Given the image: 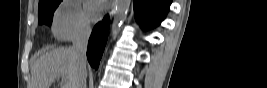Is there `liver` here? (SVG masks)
I'll return each instance as SVG.
<instances>
[{
  "instance_id": "6515ba94",
  "label": "liver",
  "mask_w": 267,
  "mask_h": 88,
  "mask_svg": "<svg viewBox=\"0 0 267 88\" xmlns=\"http://www.w3.org/2000/svg\"><path fill=\"white\" fill-rule=\"evenodd\" d=\"M59 75L65 76L62 88H74L77 64L72 48H57L38 58L31 69V88H50Z\"/></svg>"
}]
</instances>
